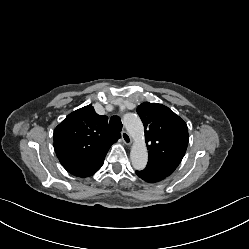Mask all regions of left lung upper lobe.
I'll list each match as a JSON object with an SVG mask.
<instances>
[{"label":"left lung upper lobe","mask_w":249,"mask_h":249,"mask_svg":"<svg viewBox=\"0 0 249 249\" xmlns=\"http://www.w3.org/2000/svg\"><path fill=\"white\" fill-rule=\"evenodd\" d=\"M149 150L144 170L167 177L180 164L188 145L186 123L168 107L144 102L137 107Z\"/></svg>","instance_id":"obj_1"}]
</instances>
